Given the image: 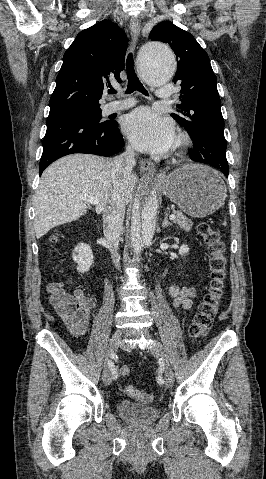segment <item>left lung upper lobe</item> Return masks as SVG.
Listing matches in <instances>:
<instances>
[{
	"label": "left lung upper lobe",
	"mask_w": 266,
	"mask_h": 479,
	"mask_svg": "<svg viewBox=\"0 0 266 479\" xmlns=\"http://www.w3.org/2000/svg\"><path fill=\"white\" fill-rule=\"evenodd\" d=\"M150 39L169 44L176 55L173 81L181 83V104L177 106L181 116H172L193 140L190 158L213 167H228L221 100L208 54L193 35L170 21L155 26Z\"/></svg>",
	"instance_id": "5c2ea615"
}]
</instances>
